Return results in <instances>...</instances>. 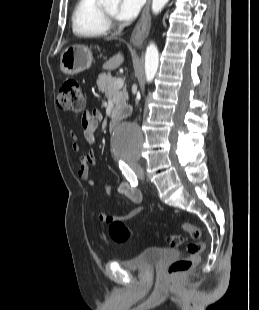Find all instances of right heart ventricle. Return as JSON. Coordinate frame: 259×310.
Here are the masks:
<instances>
[{
    "label": "right heart ventricle",
    "instance_id": "1",
    "mask_svg": "<svg viewBox=\"0 0 259 310\" xmlns=\"http://www.w3.org/2000/svg\"><path fill=\"white\" fill-rule=\"evenodd\" d=\"M72 25L77 35L85 37L102 36L109 30L101 15L99 0H77Z\"/></svg>",
    "mask_w": 259,
    "mask_h": 310
}]
</instances>
